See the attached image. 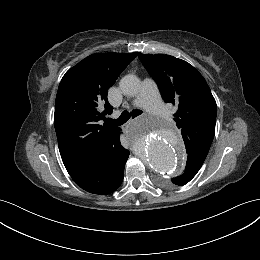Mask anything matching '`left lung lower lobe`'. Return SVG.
Segmentation results:
<instances>
[{"label":"left lung lower lobe","instance_id":"obj_1","mask_svg":"<svg viewBox=\"0 0 260 260\" xmlns=\"http://www.w3.org/2000/svg\"><path fill=\"white\" fill-rule=\"evenodd\" d=\"M202 164L197 159L188 158L185 171L182 175L171 179L172 183L179 186L187 184L197 174Z\"/></svg>","mask_w":260,"mask_h":260}]
</instances>
